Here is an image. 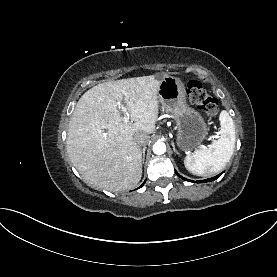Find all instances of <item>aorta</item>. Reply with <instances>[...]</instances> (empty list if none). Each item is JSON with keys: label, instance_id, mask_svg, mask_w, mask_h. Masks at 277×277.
<instances>
[{"label": "aorta", "instance_id": "aorta-1", "mask_svg": "<svg viewBox=\"0 0 277 277\" xmlns=\"http://www.w3.org/2000/svg\"><path fill=\"white\" fill-rule=\"evenodd\" d=\"M165 151H166L165 143L158 141L153 145V152L155 154L162 155L165 153Z\"/></svg>", "mask_w": 277, "mask_h": 277}]
</instances>
